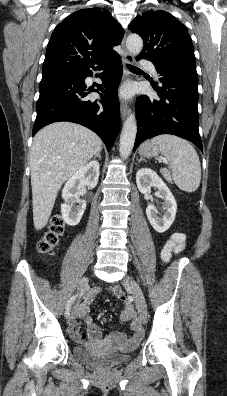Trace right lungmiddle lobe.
<instances>
[{
  "label": "right lung middle lobe",
  "instance_id": "1",
  "mask_svg": "<svg viewBox=\"0 0 227 396\" xmlns=\"http://www.w3.org/2000/svg\"><path fill=\"white\" fill-rule=\"evenodd\" d=\"M58 71H60V70H58ZM51 72H55V71L43 72V75H44V74H47V73H51Z\"/></svg>",
  "mask_w": 227,
  "mask_h": 396
}]
</instances>
